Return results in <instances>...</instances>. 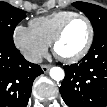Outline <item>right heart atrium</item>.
<instances>
[{"instance_id":"d8ad5b80","label":"right heart atrium","mask_w":107,"mask_h":107,"mask_svg":"<svg viewBox=\"0 0 107 107\" xmlns=\"http://www.w3.org/2000/svg\"><path fill=\"white\" fill-rule=\"evenodd\" d=\"M13 40L17 48L31 62H39L48 51V46L30 27L18 25L14 29Z\"/></svg>"}]
</instances>
